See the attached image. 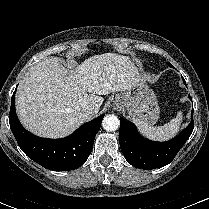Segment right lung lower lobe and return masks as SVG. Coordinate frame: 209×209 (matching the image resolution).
I'll list each match as a JSON object with an SVG mask.
<instances>
[{
	"label": "right lung lower lobe",
	"mask_w": 209,
	"mask_h": 209,
	"mask_svg": "<svg viewBox=\"0 0 209 209\" xmlns=\"http://www.w3.org/2000/svg\"><path fill=\"white\" fill-rule=\"evenodd\" d=\"M103 117L104 115H101L85 123L68 137L41 138L28 132L19 122L15 111L14 92L11 98L9 124L20 148L28 157L46 169L65 171L78 168L86 162Z\"/></svg>",
	"instance_id": "right-lung-lower-lobe-1"
}]
</instances>
